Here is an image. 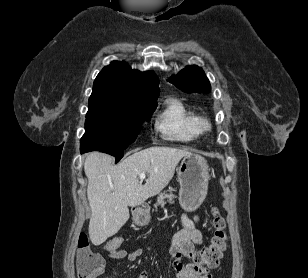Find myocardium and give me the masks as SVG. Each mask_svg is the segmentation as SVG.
<instances>
[{
	"mask_svg": "<svg viewBox=\"0 0 308 278\" xmlns=\"http://www.w3.org/2000/svg\"><path fill=\"white\" fill-rule=\"evenodd\" d=\"M196 127L200 133H204L211 129V123L205 117H198L196 120Z\"/></svg>",
	"mask_w": 308,
	"mask_h": 278,
	"instance_id": "obj_1",
	"label": "myocardium"
}]
</instances>
